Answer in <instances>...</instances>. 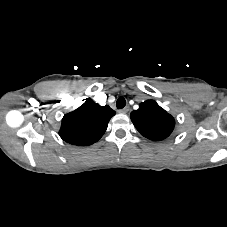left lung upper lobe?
I'll return each instance as SVG.
<instances>
[{"instance_id": "obj_1", "label": "left lung upper lobe", "mask_w": 227, "mask_h": 227, "mask_svg": "<svg viewBox=\"0 0 227 227\" xmlns=\"http://www.w3.org/2000/svg\"><path fill=\"white\" fill-rule=\"evenodd\" d=\"M130 117L140 134L153 141L167 138L175 126L174 118L154 100L140 103L139 109L132 111Z\"/></svg>"}]
</instances>
